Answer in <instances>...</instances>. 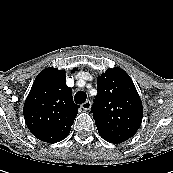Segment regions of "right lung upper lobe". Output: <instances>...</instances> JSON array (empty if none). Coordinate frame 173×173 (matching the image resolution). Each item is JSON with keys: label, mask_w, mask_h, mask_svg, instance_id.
<instances>
[{"label": "right lung upper lobe", "mask_w": 173, "mask_h": 173, "mask_svg": "<svg viewBox=\"0 0 173 173\" xmlns=\"http://www.w3.org/2000/svg\"><path fill=\"white\" fill-rule=\"evenodd\" d=\"M65 81L63 70L44 69L36 77L24 104L23 114L28 129L47 143L65 139L78 112L79 105L74 104L72 89Z\"/></svg>", "instance_id": "obj_1"}]
</instances>
